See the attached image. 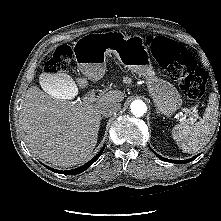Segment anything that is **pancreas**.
I'll list each match as a JSON object with an SVG mask.
<instances>
[{
  "label": "pancreas",
  "mask_w": 221,
  "mask_h": 221,
  "mask_svg": "<svg viewBox=\"0 0 221 221\" xmlns=\"http://www.w3.org/2000/svg\"><path fill=\"white\" fill-rule=\"evenodd\" d=\"M124 80L127 82L131 81V79L129 77H125Z\"/></svg>",
  "instance_id": "obj_1"
}]
</instances>
